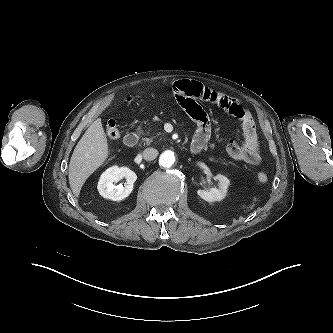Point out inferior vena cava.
Returning a JSON list of instances; mask_svg holds the SVG:
<instances>
[{
  "instance_id": "602c4592",
  "label": "inferior vena cava",
  "mask_w": 333,
  "mask_h": 333,
  "mask_svg": "<svg viewBox=\"0 0 333 333\" xmlns=\"http://www.w3.org/2000/svg\"><path fill=\"white\" fill-rule=\"evenodd\" d=\"M158 156V151L154 148H146L143 151V158L147 161H152Z\"/></svg>"
}]
</instances>
